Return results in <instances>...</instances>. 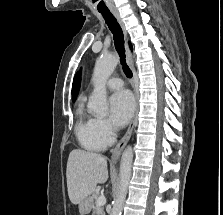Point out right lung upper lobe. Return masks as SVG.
I'll list each match as a JSON object with an SVG mask.
<instances>
[{"label": "right lung upper lobe", "instance_id": "cb5924a9", "mask_svg": "<svg viewBox=\"0 0 223 215\" xmlns=\"http://www.w3.org/2000/svg\"><path fill=\"white\" fill-rule=\"evenodd\" d=\"M79 88H80V77L77 74L73 80V85H72V100L75 101L78 92H79Z\"/></svg>", "mask_w": 223, "mask_h": 215}]
</instances>
